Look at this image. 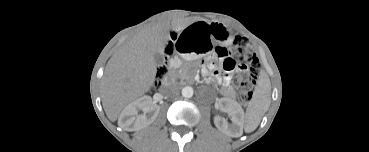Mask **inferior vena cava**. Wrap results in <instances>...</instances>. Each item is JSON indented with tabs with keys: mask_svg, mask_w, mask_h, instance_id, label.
I'll return each instance as SVG.
<instances>
[{
	"mask_svg": "<svg viewBox=\"0 0 369 152\" xmlns=\"http://www.w3.org/2000/svg\"><path fill=\"white\" fill-rule=\"evenodd\" d=\"M178 91V85L171 82L168 85H166V87L164 88V93L167 95H171L174 94Z\"/></svg>",
	"mask_w": 369,
	"mask_h": 152,
	"instance_id": "inferior-vena-cava-1",
	"label": "inferior vena cava"
}]
</instances>
